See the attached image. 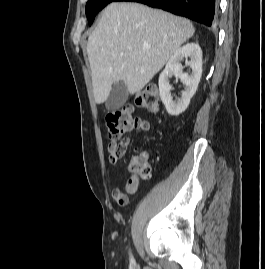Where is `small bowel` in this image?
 Masks as SVG:
<instances>
[{
    "instance_id": "c3829d8e",
    "label": "small bowel",
    "mask_w": 265,
    "mask_h": 269,
    "mask_svg": "<svg viewBox=\"0 0 265 269\" xmlns=\"http://www.w3.org/2000/svg\"><path fill=\"white\" fill-rule=\"evenodd\" d=\"M150 128L149 122L145 120V127L141 131H148ZM128 146V141L121 142L111 141L108 144L109 159L111 163L119 162L124 156ZM139 183L137 180L129 179L126 183V190L129 194H134L138 189ZM112 198L118 206H125L128 203V195L115 188L112 190Z\"/></svg>"
}]
</instances>
